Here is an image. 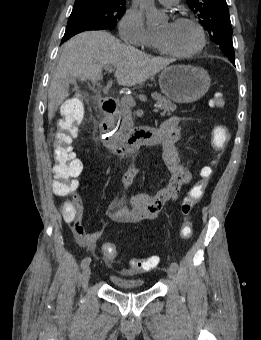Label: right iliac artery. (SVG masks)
Here are the masks:
<instances>
[{"label":"right iliac artery","mask_w":261,"mask_h":340,"mask_svg":"<svg viewBox=\"0 0 261 340\" xmlns=\"http://www.w3.org/2000/svg\"><path fill=\"white\" fill-rule=\"evenodd\" d=\"M91 262V258L90 257H85L82 262H81V268H85L86 266H88Z\"/></svg>","instance_id":"82829eb1"}]
</instances>
